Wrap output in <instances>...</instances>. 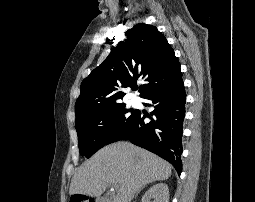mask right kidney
I'll return each instance as SVG.
<instances>
[{"mask_svg": "<svg viewBox=\"0 0 255 202\" xmlns=\"http://www.w3.org/2000/svg\"><path fill=\"white\" fill-rule=\"evenodd\" d=\"M141 202H169V189L165 183L152 186L142 197Z\"/></svg>", "mask_w": 255, "mask_h": 202, "instance_id": "ca27d5eb", "label": "right kidney"}]
</instances>
